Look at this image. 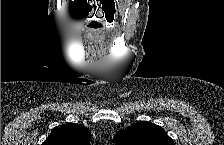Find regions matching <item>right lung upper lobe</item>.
Segmentation results:
<instances>
[{
  "label": "right lung upper lobe",
  "instance_id": "right-lung-upper-lobe-1",
  "mask_svg": "<svg viewBox=\"0 0 224 145\" xmlns=\"http://www.w3.org/2000/svg\"><path fill=\"white\" fill-rule=\"evenodd\" d=\"M90 131L75 123H67L52 129L42 145H89Z\"/></svg>",
  "mask_w": 224,
  "mask_h": 145
}]
</instances>
